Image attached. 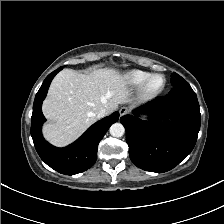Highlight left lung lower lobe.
Listing matches in <instances>:
<instances>
[{
    "instance_id": "0a47b994",
    "label": "left lung lower lobe",
    "mask_w": 224,
    "mask_h": 224,
    "mask_svg": "<svg viewBox=\"0 0 224 224\" xmlns=\"http://www.w3.org/2000/svg\"><path fill=\"white\" fill-rule=\"evenodd\" d=\"M140 110L149 113V121L132 115L120 118L132 162L151 172L173 169L190 154L197 140L201 115L195 92L185 81L173 86L166 97L157 98Z\"/></svg>"
}]
</instances>
